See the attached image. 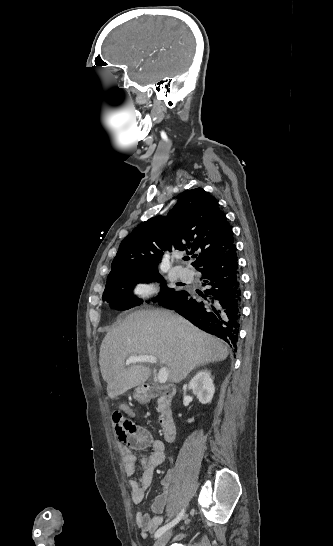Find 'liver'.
I'll return each instance as SVG.
<instances>
[{
  "label": "liver",
  "instance_id": "liver-1",
  "mask_svg": "<svg viewBox=\"0 0 333 546\" xmlns=\"http://www.w3.org/2000/svg\"><path fill=\"white\" fill-rule=\"evenodd\" d=\"M228 348L182 317L165 310H142L128 315L104 337L99 354L103 380L111 399L143 384L151 371L149 366L125 360L133 355L156 356L168 368L172 383L182 381L199 365L222 361Z\"/></svg>",
  "mask_w": 333,
  "mask_h": 546
}]
</instances>
